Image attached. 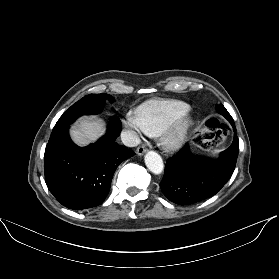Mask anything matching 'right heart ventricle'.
Returning <instances> with one entry per match:
<instances>
[{
    "instance_id": "e07e8e85",
    "label": "right heart ventricle",
    "mask_w": 279,
    "mask_h": 279,
    "mask_svg": "<svg viewBox=\"0 0 279 279\" xmlns=\"http://www.w3.org/2000/svg\"><path fill=\"white\" fill-rule=\"evenodd\" d=\"M190 110V106L178 100H152L137 109L142 131L149 136H160L180 116Z\"/></svg>"
}]
</instances>
